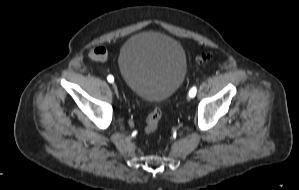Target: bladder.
<instances>
[{
  "instance_id": "31cf9c89",
  "label": "bladder",
  "mask_w": 299,
  "mask_h": 190,
  "mask_svg": "<svg viewBox=\"0 0 299 190\" xmlns=\"http://www.w3.org/2000/svg\"><path fill=\"white\" fill-rule=\"evenodd\" d=\"M120 74L134 94L148 101L169 98L183 83L187 61L182 45L155 32H140L122 46Z\"/></svg>"
}]
</instances>
